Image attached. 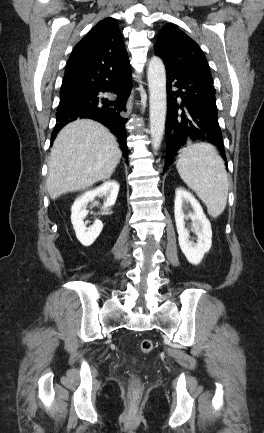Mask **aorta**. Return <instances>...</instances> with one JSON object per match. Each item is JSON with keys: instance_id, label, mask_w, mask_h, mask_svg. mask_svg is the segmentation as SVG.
<instances>
[{"instance_id": "aorta-1", "label": "aorta", "mask_w": 264, "mask_h": 433, "mask_svg": "<svg viewBox=\"0 0 264 433\" xmlns=\"http://www.w3.org/2000/svg\"><path fill=\"white\" fill-rule=\"evenodd\" d=\"M150 93V134L152 147L157 151L161 145L166 121L167 94L165 66L159 57H152L147 71Z\"/></svg>"}]
</instances>
